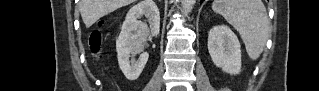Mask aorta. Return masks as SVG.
Listing matches in <instances>:
<instances>
[{
	"label": "aorta",
	"instance_id": "obj_1",
	"mask_svg": "<svg viewBox=\"0 0 319 91\" xmlns=\"http://www.w3.org/2000/svg\"><path fill=\"white\" fill-rule=\"evenodd\" d=\"M196 0H182V9L185 15L191 12Z\"/></svg>",
	"mask_w": 319,
	"mask_h": 91
}]
</instances>
